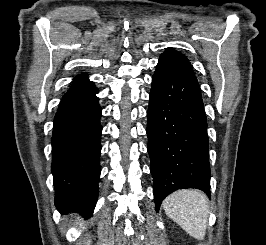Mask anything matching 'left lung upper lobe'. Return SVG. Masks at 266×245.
Returning <instances> with one entry per match:
<instances>
[{
    "label": "left lung upper lobe",
    "mask_w": 266,
    "mask_h": 245,
    "mask_svg": "<svg viewBox=\"0 0 266 245\" xmlns=\"http://www.w3.org/2000/svg\"><path fill=\"white\" fill-rule=\"evenodd\" d=\"M160 58H170L177 62L184 64L190 71L193 72L192 67L188 59L181 53L176 52L173 48H167L166 51L160 56Z\"/></svg>",
    "instance_id": "obj_1"
}]
</instances>
